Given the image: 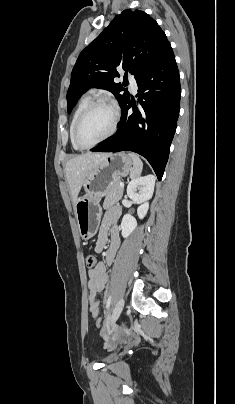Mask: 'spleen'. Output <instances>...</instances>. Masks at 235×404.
I'll return each mask as SVG.
<instances>
[{"instance_id": "obj_1", "label": "spleen", "mask_w": 235, "mask_h": 404, "mask_svg": "<svg viewBox=\"0 0 235 404\" xmlns=\"http://www.w3.org/2000/svg\"><path fill=\"white\" fill-rule=\"evenodd\" d=\"M129 156L133 160V169L130 172V178L135 179L140 176L143 168V163L137 154L129 153Z\"/></svg>"}]
</instances>
